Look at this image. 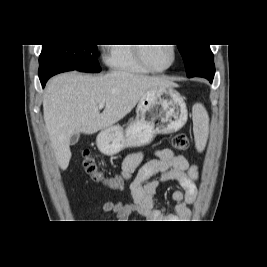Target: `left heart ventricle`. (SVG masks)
I'll list each match as a JSON object with an SVG mask.
<instances>
[{"mask_svg":"<svg viewBox=\"0 0 267 267\" xmlns=\"http://www.w3.org/2000/svg\"><path fill=\"white\" fill-rule=\"evenodd\" d=\"M145 55L149 63L157 68L168 66L173 57L169 44L147 46L145 48Z\"/></svg>","mask_w":267,"mask_h":267,"instance_id":"1","label":"left heart ventricle"}]
</instances>
